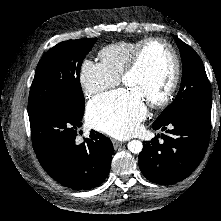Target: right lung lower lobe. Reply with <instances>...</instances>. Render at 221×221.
I'll return each mask as SVG.
<instances>
[{"label":"right lung lower lobe","mask_w":221,"mask_h":221,"mask_svg":"<svg viewBox=\"0 0 221 221\" xmlns=\"http://www.w3.org/2000/svg\"><path fill=\"white\" fill-rule=\"evenodd\" d=\"M83 113L65 104H54L29 115L32 144L44 170L73 190H89L107 177L112 155L111 140L94 130L76 142Z\"/></svg>","instance_id":"obj_1"}]
</instances>
